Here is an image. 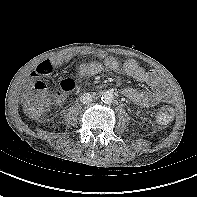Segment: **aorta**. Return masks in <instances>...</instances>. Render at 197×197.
I'll return each instance as SVG.
<instances>
[{
	"mask_svg": "<svg viewBox=\"0 0 197 197\" xmlns=\"http://www.w3.org/2000/svg\"><path fill=\"white\" fill-rule=\"evenodd\" d=\"M113 100H114V95H113L112 91L107 90V91L102 93L101 101L103 103L110 104V103H112Z\"/></svg>",
	"mask_w": 197,
	"mask_h": 197,
	"instance_id": "1",
	"label": "aorta"
}]
</instances>
